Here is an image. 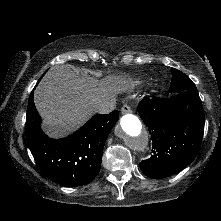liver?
<instances>
[{"label":"liver","instance_id":"1","mask_svg":"<svg viewBox=\"0 0 221 221\" xmlns=\"http://www.w3.org/2000/svg\"><path fill=\"white\" fill-rule=\"evenodd\" d=\"M132 88V81L123 75L98 80L67 65H55L37 86L34 102L46 132L60 137L83 125L102 103Z\"/></svg>","mask_w":221,"mask_h":221}]
</instances>
